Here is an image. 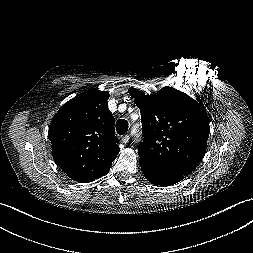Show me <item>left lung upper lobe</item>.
<instances>
[{
  "instance_id": "left-lung-upper-lobe-1",
  "label": "left lung upper lobe",
  "mask_w": 253,
  "mask_h": 253,
  "mask_svg": "<svg viewBox=\"0 0 253 253\" xmlns=\"http://www.w3.org/2000/svg\"><path fill=\"white\" fill-rule=\"evenodd\" d=\"M129 93L141 113L140 159L160 171L188 176L207 148L209 120L204 108L168 86L150 95L135 88Z\"/></svg>"
}]
</instances>
